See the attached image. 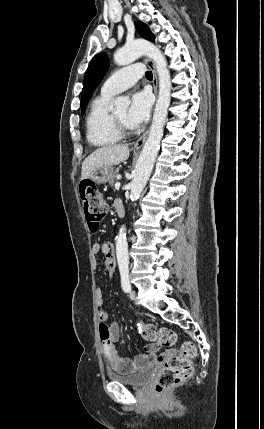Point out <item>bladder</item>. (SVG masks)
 Masks as SVG:
<instances>
[{
    "instance_id": "bladder-1",
    "label": "bladder",
    "mask_w": 264,
    "mask_h": 429,
    "mask_svg": "<svg viewBox=\"0 0 264 429\" xmlns=\"http://www.w3.org/2000/svg\"><path fill=\"white\" fill-rule=\"evenodd\" d=\"M153 373H154V368L148 367L143 370H139L128 374L108 372L107 376L111 381H115V382L132 386V387H141L151 379Z\"/></svg>"
}]
</instances>
